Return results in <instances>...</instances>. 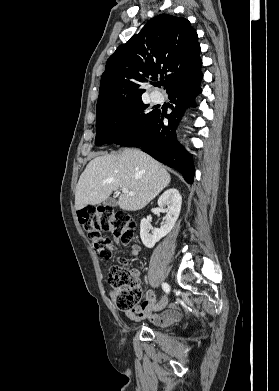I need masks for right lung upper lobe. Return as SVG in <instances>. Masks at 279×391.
<instances>
[{
  "mask_svg": "<svg viewBox=\"0 0 279 391\" xmlns=\"http://www.w3.org/2000/svg\"><path fill=\"white\" fill-rule=\"evenodd\" d=\"M196 31L185 18L161 14L120 45L109 57L100 82L96 112L141 100L148 79H166L170 93L200 72L202 61Z\"/></svg>",
  "mask_w": 279,
  "mask_h": 391,
  "instance_id": "cb5924a9",
  "label": "right lung upper lobe"
}]
</instances>
